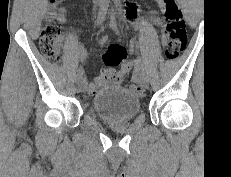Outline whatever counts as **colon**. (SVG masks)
Instances as JSON below:
<instances>
[{
	"instance_id": "obj_1",
	"label": "colon",
	"mask_w": 231,
	"mask_h": 177,
	"mask_svg": "<svg viewBox=\"0 0 231 177\" xmlns=\"http://www.w3.org/2000/svg\"><path fill=\"white\" fill-rule=\"evenodd\" d=\"M55 4L57 0H50ZM165 10V27L163 38L166 43L165 55L168 60L176 59L184 51L187 43V32L182 13L175 0H163ZM40 49L44 56L53 62L61 60V29L55 20H50L40 34ZM126 58L125 51L118 45H112L104 54L108 65H118ZM130 89L140 92V87L131 85Z\"/></svg>"
}]
</instances>
